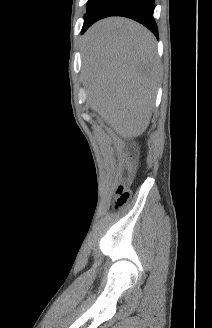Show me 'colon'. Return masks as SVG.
Here are the masks:
<instances>
[{
	"label": "colon",
	"instance_id": "colon-1",
	"mask_svg": "<svg viewBox=\"0 0 212 328\" xmlns=\"http://www.w3.org/2000/svg\"><path fill=\"white\" fill-rule=\"evenodd\" d=\"M130 160L131 159L129 157L127 159V171H126V175L123 179V182H122V184H120L117 187V189L115 191L114 207L116 209H119L120 207H122L130 197L129 184L133 180V177L135 174L134 168H133Z\"/></svg>",
	"mask_w": 212,
	"mask_h": 328
}]
</instances>
